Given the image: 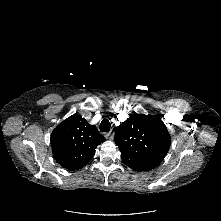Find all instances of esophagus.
I'll return each instance as SVG.
<instances>
[{
    "instance_id": "esophagus-1",
    "label": "esophagus",
    "mask_w": 221,
    "mask_h": 221,
    "mask_svg": "<svg viewBox=\"0 0 221 221\" xmlns=\"http://www.w3.org/2000/svg\"><path fill=\"white\" fill-rule=\"evenodd\" d=\"M104 136L107 139H112L114 136V133L112 131H110V132L105 133Z\"/></svg>"
}]
</instances>
